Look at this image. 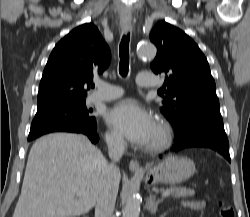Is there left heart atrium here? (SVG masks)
<instances>
[{
    "label": "left heart atrium",
    "mask_w": 250,
    "mask_h": 217,
    "mask_svg": "<svg viewBox=\"0 0 250 217\" xmlns=\"http://www.w3.org/2000/svg\"><path fill=\"white\" fill-rule=\"evenodd\" d=\"M106 121L131 142L146 145L155 129L152 115L137 101L123 100L106 112Z\"/></svg>",
    "instance_id": "1"
}]
</instances>
